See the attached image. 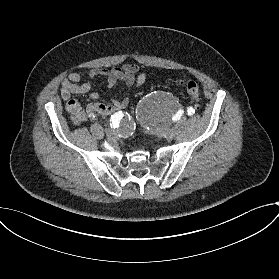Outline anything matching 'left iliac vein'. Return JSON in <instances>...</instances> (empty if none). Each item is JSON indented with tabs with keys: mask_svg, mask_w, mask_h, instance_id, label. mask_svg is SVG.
I'll use <instances>...</instances> for the list:
<instances>
[{
	"mask_svg": "<svg viewBox=\"0 0 279 279\" xmlns=\"http://www.w3.org/2000/svg\"><path fill=\"white\" fill-rule=\"evenodd\" d=\"M157 134L160 135L162 138H165L167 141L173 140V133L172 130L169 128H163L157 131Z\"/></svg>",
	"mask_w": 279,
	"mask_h": 279,
	"instance_id": "left-iliac-vein-1",
	"label": "left iliac vein"
}]
</instances>
